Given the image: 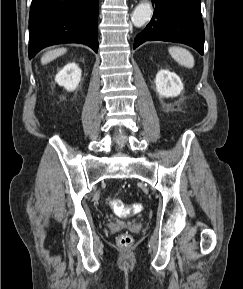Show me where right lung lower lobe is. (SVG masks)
<instances>
[{"label":"right lung lower lobe","mask_w":243,"mask_h":289,"mask_svg":"<svg viewBox=\"0 0 243 289\" xmlns=\"http://www.w3.org/2000/svg\"><path fill=\"white\" fill-rule=\"evenodd\" d=\"M62 43H82L98 51V0H32L29 59Z\"/></svg>","instance_id":"1"}]
</instances>
